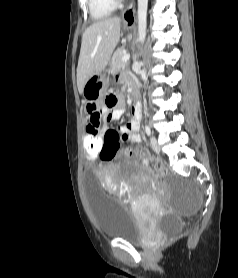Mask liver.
<instances>
[{"label": "liver", "instance_id": "liver-1", "mask_svg": "<svg viewBox=\"0 0 238 278\" xmlns=\"http://www.w3.org/2000/svg\"><path fill=\"white\" fill-rule=\"evenodd\" d=\"M119 17L107 18L91 24L83 33L77 67V87L82 94L84 85L101 73L120 40Z\"/></svg>", "mask_w": 238, "mask_h": 278}]
</instances>
